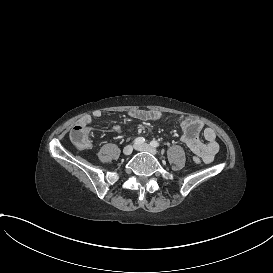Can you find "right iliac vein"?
<instances>
[{"mask_svg": "<svg viewBox=\"0 0 273 273\" xmlns=\"http://www.w3.org/2000/svg\"><path fill=\"white\" fill-rule=\"evenodd\" d=\"M133 152V146L128 145L123 149L124 155L128 156Z\"/></svg>", "mask_w": 273, "mask_h": 273, "instance_id": "right-iliac-vein-1", "label": "right iliac vein"}]
</instances>
